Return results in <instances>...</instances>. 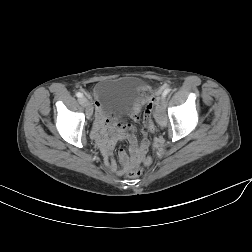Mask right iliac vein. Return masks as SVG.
<instances>
[{"mask_svg":"<svg viewBox=\"0 0 252 252\" xmlns=\"http://www.w3.org/2000/svg\"><path fill=\"white\" fill-rule=\"evenodd\" d=\"M79 102L82 106H84L86 108L87 116L90 118L92 116L93 111H92V107H91L90 103L88 102V100L86 98L82 97V98H80Z\"/></svg>","mask_w":252,"mask_h":252,"instance_id":"63e3f726","label":"right iliac vein"}]
</instances>
